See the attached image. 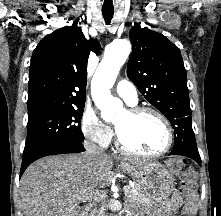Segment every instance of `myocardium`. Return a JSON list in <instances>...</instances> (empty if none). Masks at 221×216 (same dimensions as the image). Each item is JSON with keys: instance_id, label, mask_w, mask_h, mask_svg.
Here are the masks:
<instances>
[{"instance_id": "1", "label": "myocardium", "mask_w": 221, "mask_h": 216, "mask_svg": "<svg viewBox=\"0 0 221 216\" xmlns=\"http://www.w3.org/2000/svg\"><path fill=\"white\" fill-rule=\"evenodd\" d=\"M127 112L130 113L132 116H140L143 114H152V115L156 116L165 127L166 134H167V140H166L165 146L160 151L152 152V153H143V152L137 151V150L127 146L122 141L120 134L115 127L116 146L120 151H122L128 155L136 156V157L156 158V157L166 154L171 149V147L173 145V141H174V133H173V129H172V126H171L169 120L166 118V116L164 114H162L159 110H157L153 107H149V106L132 107Z\"/></svg>"}]
</instances>
